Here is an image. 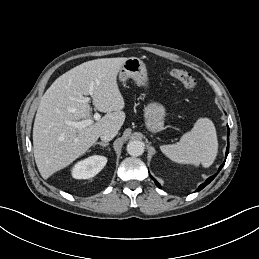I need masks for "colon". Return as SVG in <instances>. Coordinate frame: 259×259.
I'll return each mask as SVG.
<instances>
[{
    "instance_id": "colon-1",
    "label": "colon",
    "mask_w": 259,
    "mask_h": 259,
    "mask_svg": "<svg viewBox=\"0 0 259 259\" xmlns=\"http://www.w3.org/2000/svg\"><path fill=\"white\" fill-rule=\"evenodd\" d=\"M168 73L171 77L180 81L188 92L192 93L197 89V81L187 71L179 68H172L168 71Z\"/></svg>"
}]
</instances>
